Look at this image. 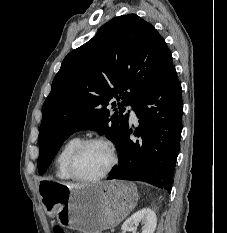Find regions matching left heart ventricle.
I'll return each instance as SVG.
<instances>
[{
    "label": "left heart ventricle",
    "instance_id": "1",
    "mask_svg": "<svg viewBox=\"0 0 227 233\" xmlns=\"http://www.w3.org/2000/svg\"><path fill=\"white\" fill-rule=\"evenodd\" d=\"M109 162V151L104 145L90 144L77 154L74 168L80 176L90 177L102 173Z\"/></svg>",
    "mask_w": 227,
    "mask_h": 233
}]
</instances>
